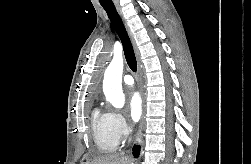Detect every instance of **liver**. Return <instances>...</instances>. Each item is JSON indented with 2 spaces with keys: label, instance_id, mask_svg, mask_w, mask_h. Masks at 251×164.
Wrapping results in <instances>:
<instances>
[{
  "label": "liver",
  "instance_id": "1",
  "mask_svg": "<svg viewBox=\"0 0 251 164\" xmlns=\"http://www.w3.org/2000/svg\"><path fill=\"white\" fill-rule=\"evenodd\" d=\"M86 164H130V161L123 155L113 154L98 157L92 163Z\"/></svg>",
  "mask_w": 251,
  "mask_h": 164
}]
</instances>
